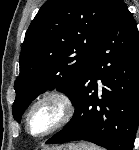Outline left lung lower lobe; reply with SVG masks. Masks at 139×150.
<instances>
[{
  "mask_svg": "<svg viewBox=\"0 0 139 150\" xmlns=\"http://www.w3.org/2000/svg\"><path fill=\"white\" fill-rule=\"evenodd\" d=\"M103 88L98 91L97 80ZM75 113L46 144L85 140L108 150H132L139 123V32L115 0L86 75L71 99Z\"/></svg>",
  "mask_w": 139,
  "mask_h": 150,
  "instance_id": "0a47b994",
  "label": "left lung lower lobe"
}]
</instances>
